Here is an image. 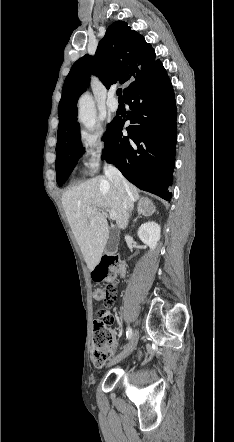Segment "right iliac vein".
<instances>
[{
	"instance_id": "1",
	"label": "right iliac vein",
	"mask_w": 234,
	"mask_h": 442,
	"mask_svg": "<svg viewBox=\"0 0 234 442\" xmlns=\"http://www.w3.org/2000/svg\"><path fill=\"white\" fill-rule=\"evenodd\" d=\"M137 342H138V331L135 330L129 343L126 345L124 350L117 355V357L114 359L113 362H118V361L126 358L127 356H129L133 352V350L135 349Z\"/></svg>"
}]
</instances>
